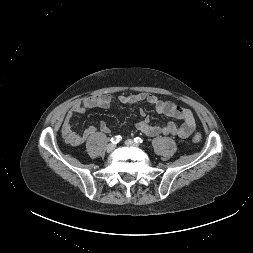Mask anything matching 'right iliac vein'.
Returning a JSON list of instances; mask_svg holds the SVG:
<instances>
[{
  "label": "right iliac vein",
  "instance_id": "63e3f726",
  "mask_svg": "<svg viewBox=\"0 0 253 253\" xmlns=\"http://www.w3.org/2000/svg\"><path fill=\"white\" fill-rule=\"evenodd\" d=\"M116 148L115 144H108L106 147L107 152H112Z\"/></svg>",
  "mask_w": 253,
  "mask_h": 253
}]
</instances>
